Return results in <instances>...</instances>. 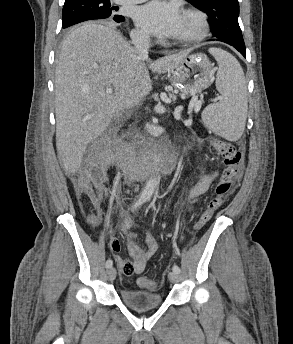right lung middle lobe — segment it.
<instances>
[{"label": "right lung middle lobe", "mask_w": 293, "mask_h": 344, "mask_svg": "<svg viewBox=\"0 0 293 344\" xmlns=\"http://www.w3.org/2000/svg\"><path fill=\"white\" fill-rule=\"evenodd\" d=\"M110 0H79L65 3L62 12V27L67 28L74 24L94 19H114Z\"/></svg>", "instance_id": "obj_1"}]
</instances>
